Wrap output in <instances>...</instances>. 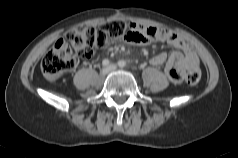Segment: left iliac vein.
Listing matches in <instances>:
<instances>
[{
	"label": "left iliac vein",
	"mask_w": 238,
	"mask_h": 158,
	"mask_svg": "<svg viewBox=\"0 0 238 158\" xmlns=\"http://www.w3.org/2000/svg\"><path fill=\"white\" fill-rule=\"evenodd\" d=\"M108 70L109 72L111 71H116L117 70V66L115 64H111L109 67H108Z\"/></svg>",
	"instance_id": "4c4485c4"
}]
</instances>
